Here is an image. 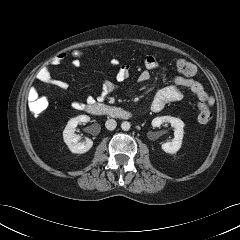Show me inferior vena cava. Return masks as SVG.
<instances>
[{
    "mask_svg": "<svg viewBox=\"0 0 240 240\" xmlns=\"http://www.w3.org/2000/svg\"><path fill=\"white\" fill-rule=\"evenodd\" d=\"M116 126H117V123L114 119H108L105 123L106 129L111 130V131L114 130L116 128Z\"/></svg>",
    "mask_w": 240,
    "mask_h": 240,
    "instance_id": "inferior-vena-cava-1",
    "label": "inferior vena cava"
}]
</instances>
